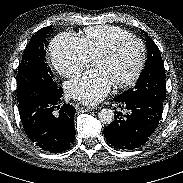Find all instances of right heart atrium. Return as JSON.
Wrapping results in <instances>:
<instances>
[{
  "label": "right heart atrium",
  "instance_id": "right-heart-atrium-1",
  "mask_svg": "<svg viewBox=\"0 0 183 183\" xmlns=\"http://www.w3.org/2000/svg\"><path fill=\"white\" fill-rule=\"evenodd\" d=\"M50 56L55 70L64 77H74L87 65V57L79 38L62 33L50 44Z\"/></svg>",
  "mask_w": 183,
  "mask_h": 183
}]
</instances>
